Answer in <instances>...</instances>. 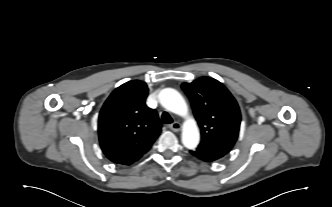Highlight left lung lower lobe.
Wrapping results in <instances>:
<instances>
[{
  "label": "left lung lower lobe",
  "instance_id": "left-lung-lower-lobe-1",
  "mask_svg": "<svg viewBox=\"0 0 332 207\" xmlns=\"http://www.w3.org/2000/svg\"><path fill=\"white\" fill-rule=\"evenodd\" d=\"M190 153L194 157H196L202 161H205V162H212V161L218 160L224 156L218 152L205 150V149H201V148L190 150Z\"/></svg>",
  "mask_w": 332,
  "mask_h": 207
}]
</instances>
